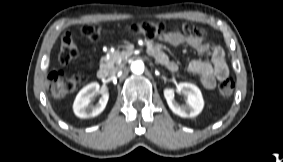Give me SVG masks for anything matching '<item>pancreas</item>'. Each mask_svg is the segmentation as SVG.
<instances>
[{
  "mask_svg": "<svg viewBox=\"0 0 283 162\" xmlns=\"http://www.w3.org/2000/svg\"><path fill=\"white\" fill-rule=\"evenodd\" d=\"M128 55L126 51H115L109 53L107 56L102 57L100 61V65L104 66L108 69H113L115 65H119L122 60Z\"/></svg>",
  "mask_w": 283,
  "mask_h": 162,
  "instance_id": "obj_1",
  "label": "pancreas"
}]
</instances>
